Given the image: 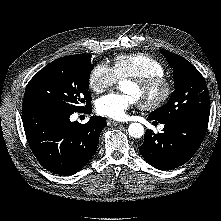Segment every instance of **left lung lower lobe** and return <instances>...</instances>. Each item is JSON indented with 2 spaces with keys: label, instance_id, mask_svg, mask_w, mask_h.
Returning <instances> with one entry per match:
<instances>
[{
  "label": "left lung lower lobe",
  "instance_id": "obj_1",
  "mask_svg": "<svg viewBox=\"0 0 221 221\" xmlns=\"http://www.w3.org/2000/svg\"><path fill=\"white\" fill-rule=\"evenodd\" d=\"M150 120H157L149 116ZM162 133L147 130L139 148L143 158L159 170H169L185 164L199 148L208 123L190 119L162 122Z\"/></svg>",
  "mask_w": 221,
  "mask_h": 221
}]
</instances>
